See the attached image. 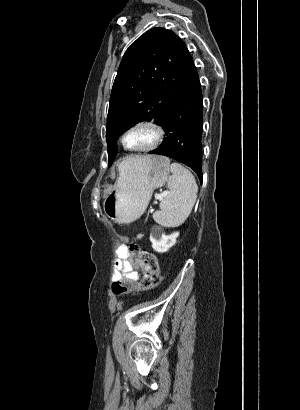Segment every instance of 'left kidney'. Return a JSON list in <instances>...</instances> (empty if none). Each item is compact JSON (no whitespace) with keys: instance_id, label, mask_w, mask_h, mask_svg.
<instances>
[{"instance_id":"5707ae66","label":"left kidney","mask_w":300,"mask_h":410,"mask_svg":"<svg viewBox=\"0 0 300 410\" xmlns=\"http://www.w3.org/2000/svg\"><path fill=\"white\" fill-rule=\"evenodd\" d=\"M178 236V232L166 235L160 228L153 229L150 234L152 248L159 253L167 252L176 243Z\"/></svg>"}]
</instances>
